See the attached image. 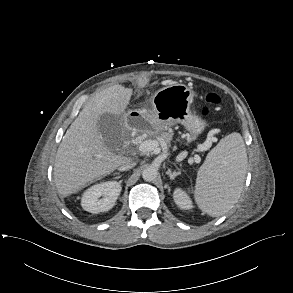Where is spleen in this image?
I'll use <instances>...</instances> for the list:
<instances>
[{"instance_id":"obj_1","label":"spleen","mask_w":293,"mask_h":293,"mask_svg":"<svg viewBox=\"0 0 293 293\" xmlns=\"http://www.w3.org/2000/svg\"><path fill=\"white\" fill-rule=\"evenodd\" d=\"M247 153L239 133L227 135L209 152L200 167L194 198L212 217L229 211L240 197L247 167Z\"/></svg>"}]
</instances>
